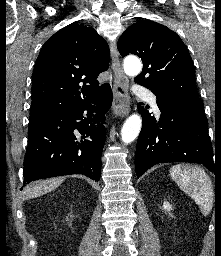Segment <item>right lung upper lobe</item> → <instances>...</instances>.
I'll use <instances>...</instances> for the list:
<instances>
[{
    "label": "right lung upper lobe",
    "mask_w": 221,
    "mask_h": 256,
    "mask_svg": "<svg viewBox=\"0 0 221 256\" xmlns=\"http://www.w3.org/2000/svg\"><path fill=\"white\" fill-rule=\"evenodd\" d=\"M108 67V44L95 29L73 23L56 32L42 47L33 70L31 121L98 96L110 87L97 81Z\"/></svg>",
    "instance_id": "obj_1"
}]
</instances>
